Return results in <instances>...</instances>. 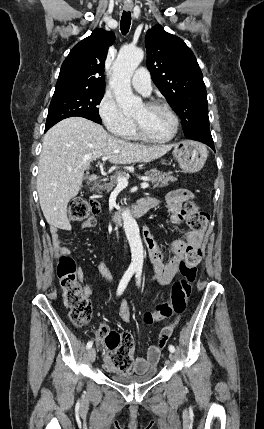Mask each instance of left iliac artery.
Returning a JSON list of instances; mask_svg holds the SVG:
<instances>
[{
    "mask_svg": "<svg viewBox=\"0 0 264 429\" xmlns=\"http://www.w3.org/2000/svg\"><path fill=\"white\" fill-rule=\"evenodd\" d=\"M141 274H142V270L141 268H138L136 270V278H137V285L140 286L141 283ZM169 351L170 352H175V347L173 345H169Z\"/></svg>",
    "mask_w": 264,
    "mask_h": 429,
    "instance_id": "44dca946",
    "label": "left iliac artery"
}]
</instances>
